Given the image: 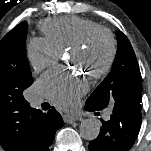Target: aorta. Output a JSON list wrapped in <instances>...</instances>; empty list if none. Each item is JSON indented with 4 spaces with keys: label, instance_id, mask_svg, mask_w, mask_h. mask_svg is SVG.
<instances>
[{
    "label": "aorta",
    "instance_id": "aorta-1",
    "mask_svg": "<svg viewBox=\"0 0 151 151\" xmlns=\"http://www.w3.org/2000/svg\"><path fill=\"white\" fill-rule=\"evenodd\" d=\"M80 136L85 140H94L100 133V125L97 120L89 118L85 119L80 124Z\"/></svg>",
    "mask_w": 151,
    "mask_h": 151
}]
</instances>
